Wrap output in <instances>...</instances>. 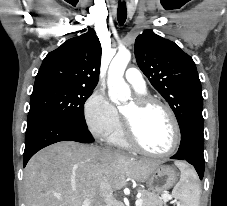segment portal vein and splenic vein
<instances>
[{"instance_id": "1", "label": "portal vein and splenic vein", "mask_w": 227, "mask_h": 206, "mask_svg": "<svg viewBox=\"0 0 227 206\" xmlns=\"http://www.w3.org/2000/svg\"><path fill=\"white\" fill-rule=\"evenodd\" d=\"M163 197L166 198V199H171V196H169L167 194H164ZM142 203H143V201L141 199V193H138L137 200L135 202V206H142ZM90 204H91V200L90 199H86V200H84L82 202L81 206H90Z\"/></svg>"}]
</instances>
